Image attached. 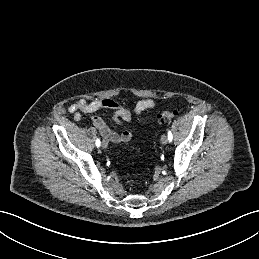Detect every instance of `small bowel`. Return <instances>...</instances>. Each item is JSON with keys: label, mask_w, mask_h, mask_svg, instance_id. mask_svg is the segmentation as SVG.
<instances>
[{"label": "small bowel", "mask_w": 259, "mask_h": 259, "mask_svg": "<svg viewBox=\"0 0 259 259\" xmlns=\"http://www.w3.org/2000/svg\"><path fill=\"white\" fill-rule=\"evenodd\" d=\"M155 104L154 100L148 98L138 101L133 108H129L112 99H97L93 101L80 99L70 105L68 111L73 114L75 120H79L81 113H93L102 109H110L113 112V120L120 124L122 122H129L133 114H140L145 110L153 108ZM92 124L99 130L102 137L109 142L126 143L133 138V133L129 130H124L120 133L111 130L100 117H93Z\"/></svg>", "instance_id": "1"}]
</instances>
